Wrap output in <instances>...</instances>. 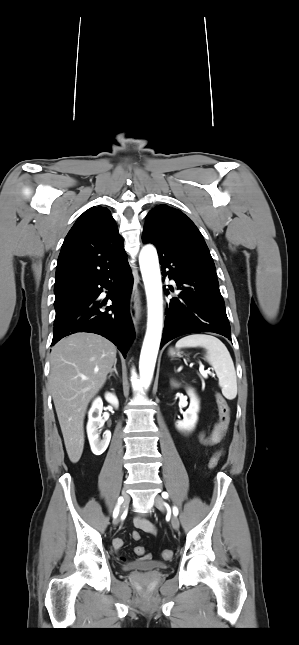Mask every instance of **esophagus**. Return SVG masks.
<instances>
[{"label": "esophagus", "mask_w": 299, "mask_h": 645, "mask_svg": "<svg viewBox=\"0 0 299 645\" xmlns=\"http://www.w3.org/2000/svg\"><path fill=\"white\" fill-rule=\"evenodd\" d=\"M140 312H141V306H140L139 291L137 288L134 287L131 295V300H130V314L136 331H137V324L140 319Z\"/></svg>", "instance_id": "esophagus-1"}]
</instances>
